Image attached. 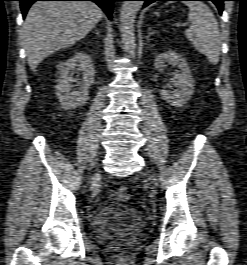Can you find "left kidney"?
Instances as JSON below:
<instances>
[{
  "mask_svg": "<svg viewBox=\"0 0 247 265\" xmlns=\"http://www.w3.org/2000/svg\"><path fill=\"white\" fill-rule=\"evenodd\" d=\"M171 64L177 66L180 71L174 76V85L177 89L173 91L161 90L162 99L173 106L184 105L194 92V79L191 76L190 67L186 60L176 53L169 50L156 56L154 66L158 71H162L166 65Z\"/></svg>",
  "mask_w": 247,
  "mask_h": 265,
  "instance_id": "obj_1",
  "label": "left kidney"
}]
</instances>
